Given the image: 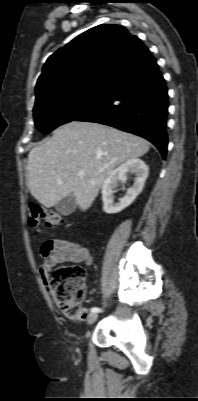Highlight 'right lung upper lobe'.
<instances>
[{"mask_svg": "<svg viewBox=\"0 0 198 401\" xmlns=\"http://www.w3.org/2000/svg\"><path fill=\"white\" fill-rule=\"evenodd\" d=\"M148 54L141 40L123 26L93 27L48 58L37 81L36 99L83 84H109Z\"/></svg>", "mask_w": 198, "mask_h": 401, "instance_id": "right-lung-upper-lobe-1", "label": "right lung upper lobe"}]
</instances>
